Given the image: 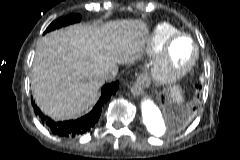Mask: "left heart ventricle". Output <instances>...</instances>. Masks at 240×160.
I'll return each mask as SVG.
<instances>
[{
	"instance_id": "b2bd125f",
	"label": "left heart ventricle",
	"mask_w": 240,
	"mask_h": 160,
	"mask_svg": "<svg viewBox=\"0 0 240 160\" xmlns=\"http://www.w3.org/2000/svg\"><path fill=\"white\" fill-rule=\"evenodd\" d=\"M192 45L187 39L176 41L172 47L171 57L175 65H182L192 54Z\"/></svg>"
}]
</instances>
